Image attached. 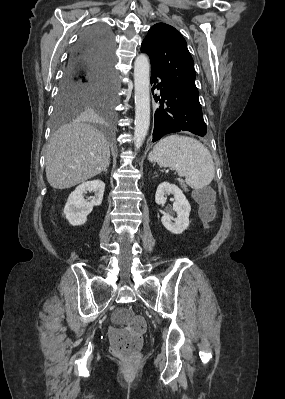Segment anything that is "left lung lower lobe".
<instances>
[{
  "mask_svg": "<svg viewBox=\"0 0 285 399\" xmlns=\"http://www.w3.org/2000/svg\"><path fill=\"white\" fill-rule=\"evenodd\" d=\"M161 79L158 86L161 98L159 108L154 115V131L152 142L169 133L189 131L204 136L207 126L203 119L202 109L199 108L180 88L158 69L151 67V84ZM155 97V96H154Z\"/></svg>",
  "mask_w": 285,
  "mask_h": 399,
  "instance_id": "1",
  "label": "left lung lower lobe"
}]
</instances>
